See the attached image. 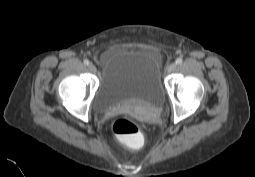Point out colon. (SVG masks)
<instances>
[{
	"instance_id": "1",
	"label": "colon",
	"mask_w": 255,
	"mask_h": 177,
	"mask_svg": "<svg viewBox=\"0 0 255 177\" xmlns=\"http://www.w3.org/2000/svg\"><path fill=\"white\" fill-rule=\"evenodd\" d=\"M112 132L121 138L131 149H139L143 138L139 126L127 118L116 119L111 126Z\"/></svg>"
}]
</instances>
